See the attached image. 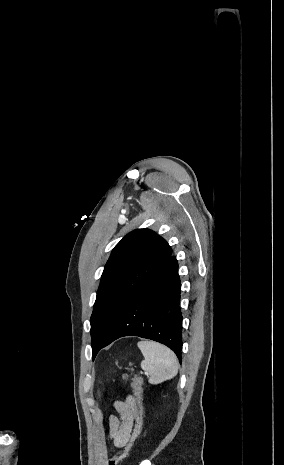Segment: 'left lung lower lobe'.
<instances>
[{"label": "left lung lower lobe", "mask_w": 284, "mask_h": 465, "mask_svg": "<svg viewBox=\"0 0 284 465\" xmlns=\"http://www.w3.org/2000/svg\"><path fill=\"white\" fill-rule=\"evenodd\" d=\"M180 286L178 263L171 255L123 308L102 348L120 337L139 336L166 345L175 352L181 363Z\"/></svg>", "instance_id": "1"}]
</instances>
